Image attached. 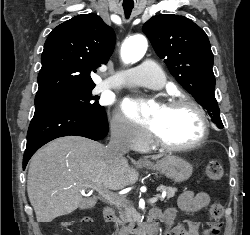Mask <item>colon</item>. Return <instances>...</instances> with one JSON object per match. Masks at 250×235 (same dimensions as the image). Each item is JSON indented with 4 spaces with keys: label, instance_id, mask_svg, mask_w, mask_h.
Wrapping results in <instances>:
<instances>
[{
    "label": "colon",
    "instance_id": "1",
    "mask_svg": "<svg viewBox=\"0 0 250 235\" xmlns=\"http://www.w3.org/2000/svg\"><path fill=\"white\" fill-rule=\"evenodd\" d=\"M206 175L212 182H220L223 178V168L217 161H210L206 167ZM223 206L213 203L208 210V226L212 235H219L222 228ZM88 221V220H86Z\"/></svg>",
    "mask_w": 250,
    "mask_h": 235
}]
</instances>
